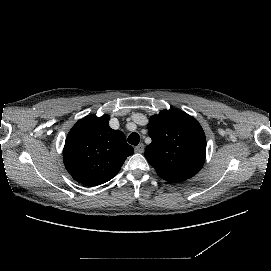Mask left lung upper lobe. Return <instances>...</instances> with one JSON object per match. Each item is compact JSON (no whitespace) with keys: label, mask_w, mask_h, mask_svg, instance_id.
Masks as SVG:
<instances>
[{"label":"left lung upper lobe","mask_w":271,"mask_h":271,"mask_svg":"<svg viewBox=\"0 0 271 271\" xmlns=\"http://www.w3.org/2000/svg\"><path fill=\"white\" fill-rule=\"evenodd\" d=\"M152 139L145 158L165 180L189 179L202 168L206 138L196 119L179 109L163 110L149 119Z\"/></svg>","instance_id":"obj_1"}]
</instances>
